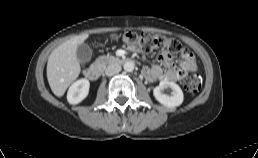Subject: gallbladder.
<instances>
[{"mask_svg": "<svg viewBox=\"0 0 258 158\" xmlns=\"http://www.w3.org/2000/svg\"><path fill=\"white\" fill-rule=\"evenodd\" d=\"M76 56L79 61L83 63L88 62L91 59L92 50L88 44L82 43L77 47Z\"/></svg>", "mask_w": 258, "mask_h": 158, "instance_id": "gallbladder-1", "label": "gallbladder"}]
</instances>
